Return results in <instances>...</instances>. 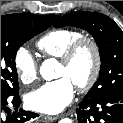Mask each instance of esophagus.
Segmentation results:
<instances>
[{
  "label": "esophagus",
  "mask_w": 123,
  "mask_h": 123,
  "mask_svg": "<svg viewBox=\"0 0 123 123\" xmlns=\"http://www.w3.org/2000/svg\"><path fill=\"white\" fill-rule=\"evenodd\" d=\"M42 117H43L46 121H51V122H53V121H55V120L58 119V116L43 115Z\"/></svg>",
  "instance_id": "34e87169"
}]
</instances>
